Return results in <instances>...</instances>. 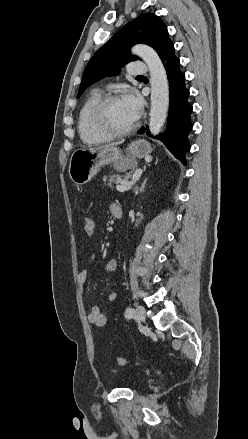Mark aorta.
Listing matches in <instances>:
<instances>
[{"mask_svg": "<svg viewBox=\"0 0 248 439\" xmlns=\"http://www.w3.org/2000/svg\"><path fill=\"white\" fill-rule=\"evenodd\" d=\"M132 52L139 55L147 64L150 72L151 109L149 129L153 135L163 127L169 108V84L167 74L158 54L149 46L138 44Z\"/></svg>", "mask_w": 248, "mask_h": 439, "instance_id": "aorta-1", "label": "aorta"}]
</instances>
